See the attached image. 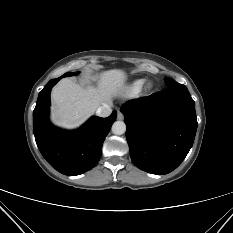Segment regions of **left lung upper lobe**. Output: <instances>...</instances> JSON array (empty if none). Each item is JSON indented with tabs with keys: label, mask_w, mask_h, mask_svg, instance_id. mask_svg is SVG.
<instances>
[{
	"label": "left lung upper lobe",
	"mask_w": 233,
	"mask_h": 233,
	"mask_svg": "<svg viewBox=\"0 0 233 233\" xmlns=\"http://www.w3.org/2000/svg\"><path fill=\"white\" fill-rule=\"evenodd\" d=\"M164 80H165L167 87H173V86L179 85V83H177L175 80L171 78H164Z\"/></svg>",
	"instance_id": "1"
}]
</instances>
